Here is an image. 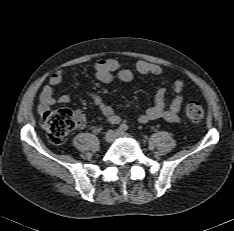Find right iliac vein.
I'll return each mask as SVG.
<instances>
[{
  "label": "right iliac vein",
  "mask_w": 234,
  "mask_h": 231,
  "mask_svg": "<svg viewBox=\"0 0 234 231\" xmlns=\"http://www.w3.org/2000/svg\"><path fill=\"white\" fill-rule=\"evenodd\" d=\"M116 135H117L116 131L109 130L106 132L104 139L107 143H112L115 140Z\"/></svg>",
  "instance_id": "obj_1"
}]
</instances>
